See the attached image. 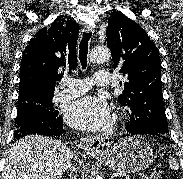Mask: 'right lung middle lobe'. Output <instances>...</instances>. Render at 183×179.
I'll return each instance as SVG.
<instances>
[{
	"label": "right lung middle lobe",
	"instance_id": "right-lung-middle-lobe-1",
	"mask_svg": "<svg viewBox=\"0 0 183 179\" xmlns=\"http://www.w3.org/2000/svg\"><path fill=\"white\" fill-rule=\"evenodd\" d=\"M54 94H34L18 98L16 129L29 121H50L58 117L53 107Z\"/></svg>",
	"mask_w": 183,
	"mask_h": 179
}]
</instances>
